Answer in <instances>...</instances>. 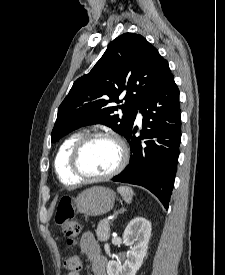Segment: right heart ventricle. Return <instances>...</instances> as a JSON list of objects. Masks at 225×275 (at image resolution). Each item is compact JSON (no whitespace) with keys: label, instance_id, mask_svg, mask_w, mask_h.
Instances as JSON below:
<instances>
[{"label":"right heart ventricle","instance_id":"e07e8e85","mask_svg":"<svg viewBox=\"0 0 225 275\" xmlns=\"http://www.w3.org/2000/svg\"><path fill=\"white\" fill-rule=\"evenodd\" d=\"M82 135L81 132L71 134L62 142L57 151L54 161L55 172L58 179L64 184H76L81 181L74 176L69 168V156L72 147Z\"/></svg>","mask_w":225,"mask_h":275}]
</instances>
